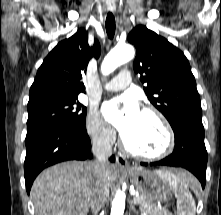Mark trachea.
I'll return each instance as SVG.
<instances>
[{"label":"trachea","mask_w":221,"mask_h":215,"mask_svg":"<svg viewBox=\"0 0 221 215\" xmlns=\"http://www.w3.org/2000/svg\"><path fill=\"white\" fill-rule=\"evenodd\" d=\"M115 28L116 25L114 15L111 12H109L106 18V31L109 39H113L115 34Z\"/></svg>","instance_id":"1"}]
</instances>
